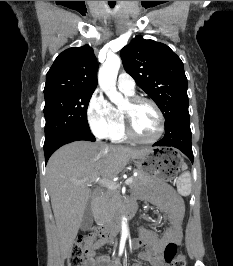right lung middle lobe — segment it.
Listing matches in <instances>:
<instances>
[{
    "label": "right lung middle lobe",
    "mask_w": 233,
    "mask_h": 266,
    "mask_svg": "<svg viewBox=\"0 0 233 266\" xmlns=\"http://www.w3.org/2000/svg\"><path fill=\"white\" fill-rule=\"evenodd\" d=\"M94 91H76L45 97V143L71 131H90L87 107Z\"/></svg>",
    "instance_id": "1"
}]
</instances>
